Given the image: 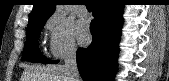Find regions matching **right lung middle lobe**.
<instances>
[{
	"label": "right lung middle lobe",
	"instance_id": "obj_1",
	"mask_svg": "<svg viewBox=\"0 0 169 81\" xmlns=\"http://www.w3.org/2000/svg\"><path fill=\"white\" fill-rule=\"evenodd\" d=\"M46 20L37 21L31 24H28L27 28V38L24 46V51L22 55L23 61H31L35 63L48 64L49 59L44 57L39 50L38 38L41 32V29L45 25Z\"/></svg>",
	"mask_w": 169,
	"mask_h": 81
}]
</instances>
